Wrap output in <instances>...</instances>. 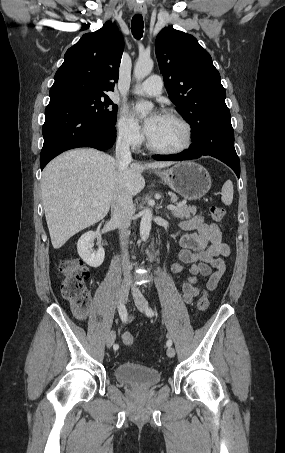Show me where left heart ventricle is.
Returning a JSON list of instances; mask_svg holds the SVG:
<instances>
[{
    "label": "left heart ventricle",
    "instance_id": "obj_1",
    "mask_svg": "<svg viewBox=\"0 0 285 453\" xmlns=\"http://www.w3.org/2000/svg\"><path fill=\"white\" fill-rule=\"evenodd\" d=\"M148 136L156 146L173 149L183 145L186 133L182 124L177 120L160 115L153 130Z\"/></svg>",
    "mask_w": 285,
    "mask_h": 453
}]
</instances>
